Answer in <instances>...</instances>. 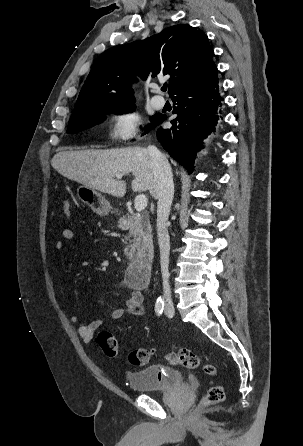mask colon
<instances>
[{"label": "colon", "instance_id": "colon-1", "mask_svg": "<svg viewBox=\"0 0 303 446\" xmlns=\"http://www.w3.org/2000/svg\"><path fill=\"white\" fill-rule=\"evenodd\" d=\"M63 212L69 217L71 207L68 202H63ZM97 342L104 354L110 358L118 355L119 346L115 336L109 332L103 331L97 337ZM153 356V351L148 349H137L129 354V362L135 366H144L148 364ZM166 360L172 365H180L188 369L202 368L204 373L210 377H217L218 370L211 363H202L201 359L192 351L180 349L175 352L168 353ZM225 398V392L221 385L211 387L206 395L202 398L201 406H210L222 402Z\"/></svg>", "mask_w": 303, "mask_h": 446}]
</instances>
